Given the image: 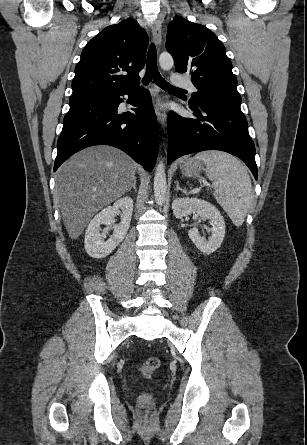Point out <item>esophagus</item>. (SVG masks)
<instances>
[{
    "instance_id": "esophagus-1",
    "label": "esophagus",
    "mask_w": 307,
    "mask_h": 445,
    "mask_svg": "<svg viewBox=\"0 0 307 445\" xmlns=\"http://www.w3.org/2000/svg\"><path fill=\"white\" fill-rule=\"evenodd\" d=\"M152 35L155 44L160 45L162 30H161V23L159 21L154 22L152 26ZM155 92H156V97H155L154 109L157 116V120L161 124V127L164 129L166 127L167 115L162 108V100L158 95V90L156 89Z\"/></svg>"
}]
</instances>
